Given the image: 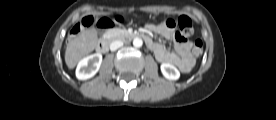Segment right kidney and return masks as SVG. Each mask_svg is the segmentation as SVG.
<instances>
[{
  "label": "right kidney",
  "instance_id": "ca27d5eb",
  "mask_svg": "<svg viewBox=\"0 0 276 120\" xmlns=\"http://www.w3.org/2000/svg\"><path fill=\"white\" fill-rule=\"evenodd\" d=\"M101 63L102 54L100 53H95L83 58L77 65L76 77L79 80L92 78L98 72Z\"/></svg>",
  "mask_w": 276,
  "mask_h": 120
}]
</instances>
